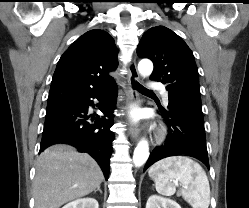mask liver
<instances>
[{
  "mask_svg": "<svg viewBox=\"0 0 249 208\" xmlns=\"http://www.w3.org/2000/svg\"><path fill=\"white\" fill-rule=\"evenodd\" d=\"M104 179L97 162L74 147L57 144L40 154L33 182L35 208H59L96 190Z\"/></svg>",
  "mask_w": 249,
  "mask_h": 208,
  "instance_id": "1",
  "label": "liver"
}]
</instances>
